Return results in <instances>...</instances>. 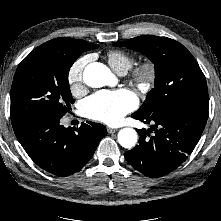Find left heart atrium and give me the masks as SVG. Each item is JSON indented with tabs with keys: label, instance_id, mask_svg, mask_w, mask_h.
<instances>
[{
	"label": "left heart atrium",
	"instance_id": "obj_1",
	"mask_svg": "<svg viewBox=\"0 0 221 221\" xmlns=\"http://www.w3.org/2000/svg\"><path fill=\"white\" fill-rule=\"evenodd\" d=\"M137 104L138 99L130 90L99 91L85 100L84 111L91 119L115 124Z\"/></svg>",
	"mask_w": 221,
	"mask_h": 221
}]
</instances>
